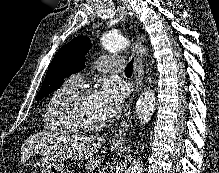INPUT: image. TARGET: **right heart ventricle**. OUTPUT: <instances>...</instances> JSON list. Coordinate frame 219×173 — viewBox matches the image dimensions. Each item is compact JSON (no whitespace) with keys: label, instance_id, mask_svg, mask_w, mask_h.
I'll return each instance as SVG.
<instances>
[{"label":"right heart ventricle","instance_id":"1","mask_svg":"<svg viewBox=\"0 0 219 173\" xmlns=\"http://www.w3.org/2000/svg\"><path fill=\"white\" fill-rule=\"evenodd\" d=\"M78 90V85L67 80L55 89L49 97L44 110L45 129L56 134L68 135L78 131L65 117V104L68 98Z\"/></svg>","mask_w":219,"mask_h":173}]
</instances>
